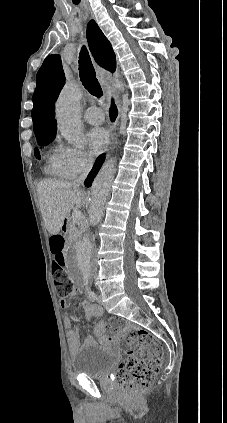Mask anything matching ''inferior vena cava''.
I'll list each match as a JSON object with an SVG mask.
<instances>
[{"instance_id":"1","label":"inferior vena cava","mask_w":227,"mask_h":423,"mask_svg":"<svg viewBox=\"0 0 227 423\" xmlns=\"http://www.w3.org/2000/svg\"><path fill=\"white\" fill-rule=\"evenodd\" d=\"M94 158L91 156V154H84L83 156V168H82V174L77 178V180H74V182H71L73 188H79L81 184H83L88 172H90L92 166H93Z\"/></svg>"}]
</instances>
